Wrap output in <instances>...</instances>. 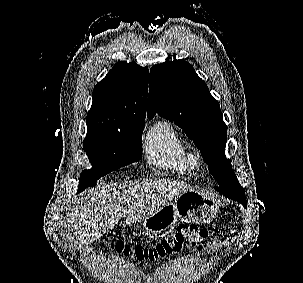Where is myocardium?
I'll use <instances>...</instances> for the list:
<instances>
[{"label":"myocardium","instance_id":"f54148a6","mask_svg":"<svg viewBox=\"0 0 303 283\" xmlns=\"http://www.w3.org/2000/svg\"><path fill=\"white\" fill-rule=\"evenodd\" d=\"M188 163L190 166V169L198 171L201 169L202 166V159L198 152L191 151L188 153Z\"/></svg>","mask_w":303,"mask_h":283}]
</instances>
